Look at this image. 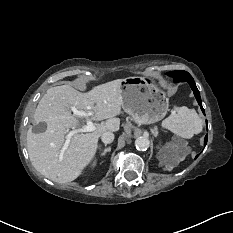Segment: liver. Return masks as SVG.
I'll return each instance as SVG.
<instances>
[{"label":"liver","instance_id":"obj_1","mask_svg":"<svg viewBox=\"0 0 233 233\" xmlns=\"http://www.w3.org/2000/svg\"><path fill=\"white\" fill-rule=\"evenodd\" d=\"M122 79L113 80L81 93L70 85L49 88L34 112L35 124L46 123L44 132H27V150L33 167L46 178L60 183L75 180L91 162L98 148V139L106 131H118L123 100ZM71 109L91 113L90 120L102 121L96 129L71 137L66 149L67 129H74L78 119Z\"/></svg>","mask_w":233,"mask_h":233}]
</instances>
